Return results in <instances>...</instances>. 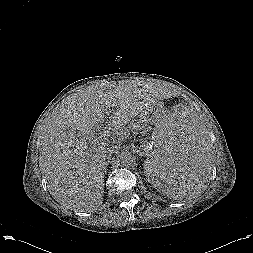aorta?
<instances>
[{"label":"aorta","instance_id":"762f6f07","mask_svg":"<svg viewBox=\"0 0 253 253\" xmlns=\"http://www.w3.org/2000/svg\"><path fill=\"white\" fill-rule=\"evenodd\" d=\"M119 162L123 166H128L132 164L135 160L134 155L129 151H122L119 155Z\"/></svg>","mask_w":253,"mask_h":253}]
</instances>
